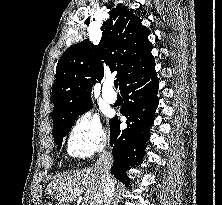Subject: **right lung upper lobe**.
<instances>
[{
    "mask_svg": "<svg viewBox=\"0 0 222 205\" xmlns=\"http://www.w3.org/2000/svg\"><path fill=\"white\" fill-rule=\"evenodd\" d=\"M141 18L125 6H117L104 22L100 43L87 39L69 47L56 67L52 90L53 122L72 116L91 106V88L108 67L117 72L120 88L130 79L155 66L151 54L150 31Z\"/></svg>",
    "mask_w": 222,
    "mask_h": 205,
    "instance_id": "obj_1",
    "label": "right lung upper lobe"
}]
</instances>
